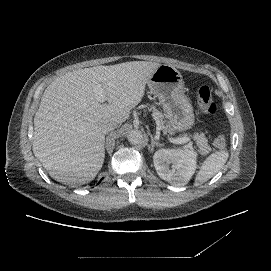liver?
I'll return each mask as SVG.
<instances>
[{"label": "liver", "instance_id": "liver-1", "mask_svg": "<svg viewBox=\"0 0 271 271\" xmlns=\"http://www.w3.org/2000/svg\"><path fill=\"white\" fill-rule=\"evenodd\" d=\"M161 64L132 61L68 72L44 91L34 117V156L59 183L83 185L101 170L108 120L125 122ZM106 95L100 101V95Z\"/></svg>", "mask_w": 271, "mask_h": 271}]
</instances>
